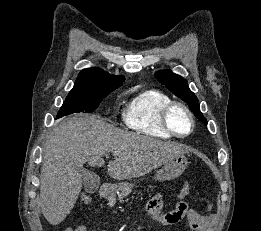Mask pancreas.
Wrapping results in <instances>:
<instances>
[{"label": "pancreas", "instance_id": "1", "mask_svg": "<svg viewBox=\"0 0 261 231\" xmlns=\"http://www.w3.org/2000/svg\"><path fill=\"white\" fill-rule=\"evenodd\" d=\"M132 188H133V185H129V184L122 186L120 189L121 192L119 194V198L121 199V198L128 196V194L132 192ZM114 203H115V199L110 198L109 204L113 205Z\"/></svg>", "mask_w": 261, "mask_h": 231}]
</instances>
